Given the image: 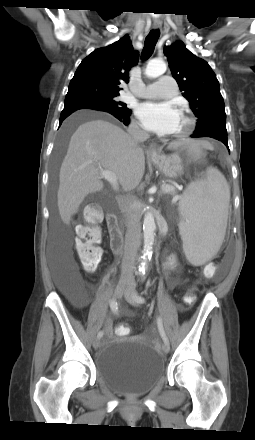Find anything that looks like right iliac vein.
Wrapping results in <instances>:
<instances>
[{
    "label": "right iliac vein",
    "mask_w": 255,
    "mask_h": 440,
    "mask_svg": "<svg viewBox=\"0 0 255 440\" xmlns=\"http://www.w3.org/2000/svg\"><path fill=\"white\" fill-rule=\"evenodd\" d=\"M126 289H127L126 283L119 282L114 289V298L117 299L120 298L123 295V293L126 291ZM99 345H100V339L97 337L93 341L94 349L95 350L98 349Z\"/></svg>",
    "instance_id": "1"
}]
</instances>
